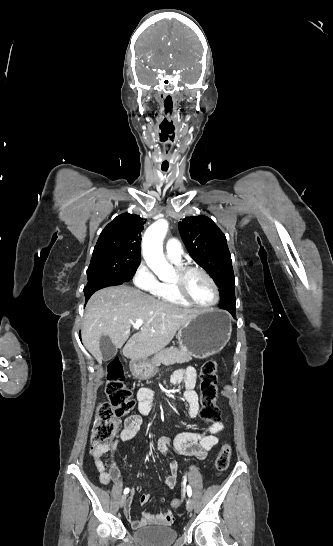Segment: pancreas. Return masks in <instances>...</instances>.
Masks as SVG:
<instances>
[{"instance_id": "1", "label": "pancreas", "mask_w": 333, "mask_h": 546, "mask_svg": "<svg viewBox=\"0 0 333 546\" xmlns=\"http://www.w3.org/2000/svg\"><path fill=\"white\" fill-rule=\"evenodd\" d=\"M190 360H192L190 353L178 348H166L157 352L151 362L156 366H160L161 364L169 366L176 363L182 364L184 362H189Z\"/></svg>"}]
</instances>
